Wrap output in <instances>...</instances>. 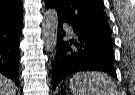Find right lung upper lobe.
Instances as JSON below:
<instances>
[{
    "mask_svg": "<svg viewBox=\"0 0 135 95\" xmlns=\"http://www.w3.org/2000/svg\"><path fill=\"white\" fill-rule=\"evenodd\" d=\"M21 0H0V21L18 19L22 16Z\"/></svg>",
    "mask_w": 135,
    "mask_h": 95,
    "instance_id": "obj_1",
    "label": "right lung upper lobe"
}]
</instances>
